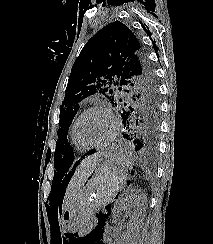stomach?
Here are the masks:
<instances>
[{
  "instance_id": "0dacf381",
  "label": "stomach",
  "mask_w": 213,
  "mask_h": 244,
  "mask_svg": "<svg viewBox=\"0 0 213 244\" xmlns=\"http://www.w3.org/2000/svg\"><path fill=\"white\" fill-rule=\"evenodd\" d=\"M124 149H104L92 175L77 191L61 214L62 229L77 232L86 229L98 209L113 201L128 179Z\"/></svg>"
}]
</instances>
